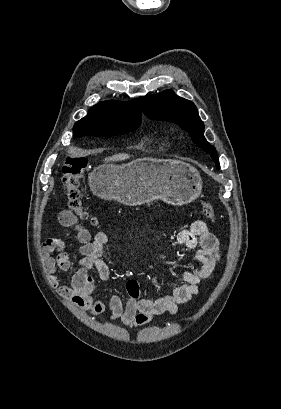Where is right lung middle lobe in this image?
<instances>
[{
	"instance_id": "obj_1",
	"label": "right lung middle lobe",
	"mask_w": 281,
	"mask_h": 409,
	"mask_svg": "<svg viewBox=\"0 0 281 409\" xmlns=\"http://www.w3.org/2000/svg\"><path fill=\"white\" fill-rule=\"evenodd\" d=\"M139 125L129 127H80L73 129L75 136L91 135V136H113L129 133L137 129Z\"/></svg>"
}]
</instances>
